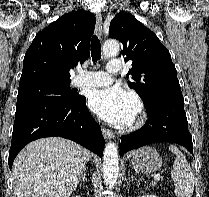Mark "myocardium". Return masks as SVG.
Wrapping results in <instances>:
<instances>
[{
	"instance_id": "obj_1",
	"label": "myocardium",
	"mask_w": 209,
	"mask_h": 197,
	"mask_svg": "<svg viewBox=\"0 0 209 197\" xmlns=\"http://www.w3.org/2000/svg\"><path fill=\"white\" fill-rule=\"evenodd\" d=\"M143 121H144V108L141 104H139L137 110V117L135 119L133 127H138L143 123Z\"/></svg>"
}]
</instances>
